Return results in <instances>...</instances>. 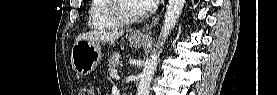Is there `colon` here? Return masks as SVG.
<instances>
[{"label":"colon","mask_w":277,"mask_h":95,"mask_svg":"<svg viewBox=\"0 0 277 95\" xmlns=\"http://www.w3.org/2000/svg\"><path fill=\"white\" fill-rule=\"evenodd\" d=\"M97 91L91 87L83 88L80 92V95H96Z\"/></svg>","instance_id":"colon-1"}]
</instances>
